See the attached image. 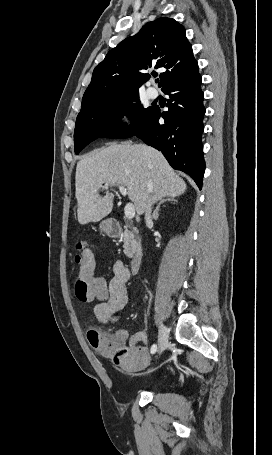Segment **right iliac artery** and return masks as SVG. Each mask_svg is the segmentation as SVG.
Masks as SVG:
<instances>
[{"mask_svg": "<svg viewBox=\"0 0 272 455\" xmlns=\"http://www.w3.org/2000/svg\"><path fill=\"white\" fill-rule=\"evenodd\" d=\"M157 350V345L156 344H153L152 347H151V353L154 354Z\"/></svg>", "mask_w": 272, "mask_h": 455, "instance_id": "1", "label": "right iliac artery"}]
</instances>
